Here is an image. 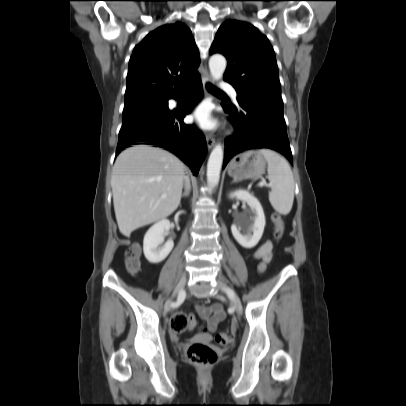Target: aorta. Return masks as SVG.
<instances>
[{
	"instance_id": "1",
	"label": "aorta",
	"mask_w": 406,
	"mask_h": 406,
	"mask_svg": "<svg viewBox=\"0 0 406 406\" xmlns=\"http://www.w3.org/2000/svg\"><path fill=\"white\" fill-rule=\"evenodd\" d=\"M226 65L227 62L224 56L220 54L211 56L209 60V69L214 80L222 79ZM223 157L224 149L219 143L213 148L207 163V183L211 188L216 187L219 183Z\"/></svg>"
}]
</instances>
